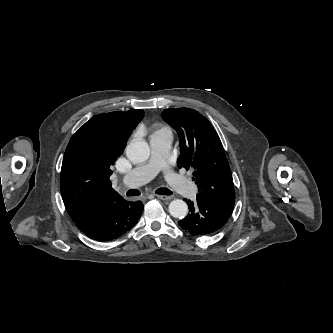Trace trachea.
<instances>
[{"label":"trachea","mask_w":333,"mask_h":333,"mask_svg":"<svg viewBox=\"0 0 333 333\" xmlns=\"http://www.w3.org/2000/svg\"><path fill=\"white\" fill-rule=\"evenodd\" d=\"M156 194L159 195H172V191L167 189V188H159L155 191ZM127 196H138L140 195V192L138 190L135 189H131L127 191Z\"/></svg>","instance_id":"obj_1"}]
</instances>
